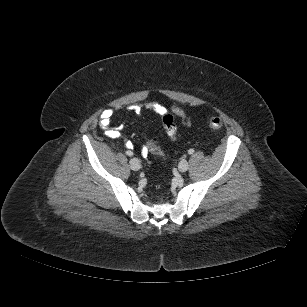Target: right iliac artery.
Masks as SVG:
<instances>
[{"label":"right iliac artery","instance_id":"82829eb1","mask_svg":"<svg viewBox=\"0 0 307 307\" xmlns=\"http://www.w3.org/2000/svg\"><path fill=\"white\" fill-rule=\"evenodd\" d=\"M126 154H127L128 156H132V155H133V153H132L131 151H126Z\"/></svg>","mask_w":307,"mask_h":307}]
</instances>
